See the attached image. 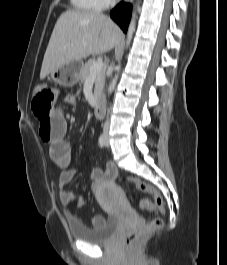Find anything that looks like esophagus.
I'll list each match as a JSON object with an SVG mask.
<instances>
[{"instance_id": "obj_1", "label": "esophagus", "mask_w": 227, "mask_h": 265, "mask_svg": "<svg viewBox=\"0 0 227 265\" xmlns=\"http://www.w3.org/2000/svg\"><path fill=\"white\" fill-rule=\"evenodd\" d=\"M131 0H125V2H130Z\"/></svg>"}]
</instances>
